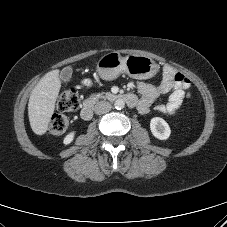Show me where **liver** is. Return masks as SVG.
I'll return each instance as SVG.
<instances>
[{
	"instance_id": "liver-1",
	"label": "liver",
	"mask_w": 227,
	"mask_h": 227,
	"mask_svg": "<svg viewBox=\"0 0 227 227\" xmlns=\"http://www.w3.org/2000/svg\"><path fill=\"white\" fill-rule=\"evenodd\" d=\"M60 88L59 70H53L45 74L32 90L28 103V116L35 134L46 133Z\"/></svg>"
}]
</instances>
